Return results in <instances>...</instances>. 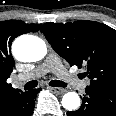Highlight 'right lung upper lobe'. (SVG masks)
<instances>
[{
    "label": "right lung upper lobe",
    "mask_w": 116,
    "mask_h": 116,
    "mask_svg": "<svg viewBox=\"0 0 116 116\" xmlns=\"http://www.w3.org/2000/svg\"><path fill=\"white\" fill-rule=\"evenodd\" d=\"M40 27L41 24H26L17 20L0 22V112L17 93L21 92L6 82L15 66L11 54L12 41L19 35L37 32Z\"/></svg>",
    "instance_id": "obj_1"
}]
</instances>
